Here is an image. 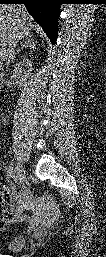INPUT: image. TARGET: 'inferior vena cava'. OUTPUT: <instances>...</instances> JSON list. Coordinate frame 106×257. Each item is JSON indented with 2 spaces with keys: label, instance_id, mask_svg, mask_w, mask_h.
<instances>
[{
  "label": "inferior vena cava",
  "instance_id": "1",
  "mask_svg": "<svg viewBox=\"0 0 106 257\" xmlns=\"http://www.w3.org/2000/svg\"><path fill=\"white\" fill-rule=\"evenodd\" d=\"M17 42V38L15 36H12L8 41L7 46L1 49L2 60L6 61L7 65H9V63L12 61Z\"/></svg>",
  "mask_w": 106,
  "mask_h": 257
}]
</instances>
